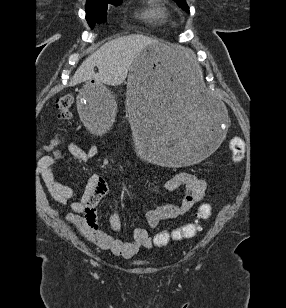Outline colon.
<instances>
[{"mask_svg":"<svg viewBox=\"0 0 286 308\" xmlns=\"http://www.w3.org/2000/svg\"><path fill=\"white\" fill-rule=\"evenodd\" d=\"M74 97L72 93L62 95L56 102V109L60 120L65 121L71 115ZM231 150V159L234 163H239L245 154V143L242 138L235 136L229 142ZM199 218L206 219L211 215V206L209 204H202L197 212ZM200 227L196 223L186 224L180 228L175 229L171 234L167 231L159 232L154 237V244L156 247H163L168 244L171 238L180 240L184 238H191L197 234Z\"/></svg>","mask_w":286,"mask_h":308,"instance_id":"colon-1","label":"colon"}]
</instances>
